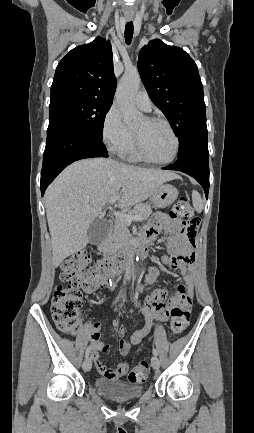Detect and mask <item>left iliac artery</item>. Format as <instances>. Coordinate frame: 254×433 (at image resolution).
<instances>
[{"label": "left iliac artery", "mask_w": 254, "mask_h": 433, "mask_svg": "<svg viewBox=\"0 0 254 433\" xmlns=\"http://www.w3.org/2000/svg\"><path fill=\"white\" fill-rule=\"evenodd\" d=\"M153 354L155 355V356H158V351L155 349V348H153Z\"/></svg>", "instance_id": "left-iliac-artery-1"}]
</instances>
